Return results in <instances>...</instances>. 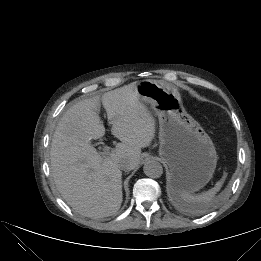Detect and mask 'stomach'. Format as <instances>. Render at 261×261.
Instances as JSON below:
<instances>
[{
  "label": "stomach",
  "instance_id": "stomach-1",
  "mask_svg": "<svg viewBox=\"0 0 261 261\" xmlns=\"http://www.w3.org/2000/svg\"><path fill=\"white\" fill-rule=\"evenodd\" d=\"M141 101L150 104L159 119V156L169 168L173 195L194 193L212 178L217 164L214 144L189 115L178 91L159 80L137 83Z\"/></svg>",
  "mask_w": 261,
  "mask_h": 261
}]
</instances>
